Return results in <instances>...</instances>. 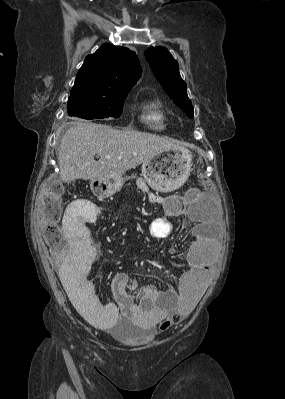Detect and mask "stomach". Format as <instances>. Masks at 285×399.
<instances>
[{
  "instance_id": "0dacf381",
  "label": "stomach",
  "mask_w": 285,
  "mask_h": 399,
  "mask_svg": "<svg viewBox=\"0 0 285 399\" xmlns=\"http://www.w3.org/2000/svg\"><path fill=\"white\" fill-rule=\"evenodd\" d=\"M191 154L187 149L163 150L142 165L145 181L154 189L170 192L182 186L191 172ZM124 183L122 176L107 175L91 181V190L103 199L120 191Z\"/></svg>"
}]
</instances>
